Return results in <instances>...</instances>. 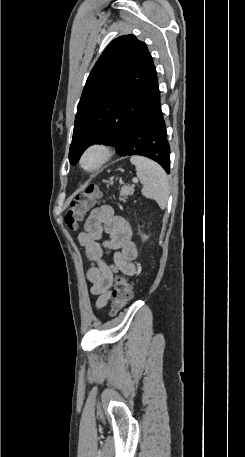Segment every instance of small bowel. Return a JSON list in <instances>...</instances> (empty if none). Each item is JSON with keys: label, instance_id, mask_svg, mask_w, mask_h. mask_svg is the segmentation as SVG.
Listing matches in <instances>:
<instances>
[{"label": "small bowel", "instance_id": "small-bowel-1", "mask_svg": "<svg viewBox=\"0 0 245 457\" xmlns=\"http://www.w3.org/2000/svg\"><path fill=\"white\" fill-rule=\"evenodd\" d=\"M104 233L109 235V239L102 242ZM131 238L129 222L115 214L109 205L93 209L85 221L84 231L78 234L79 243L85 247L87 257L94 263L87 272V279L91 284V293L97 296V309L106 306L110 299L116 273L130 276L136 273L133 261L137 257V249ZM105 247L115 250L113 264H107L103 259Z\"/></svg>", "mask_w": 245, "mask_h": 457}]
</instances>
